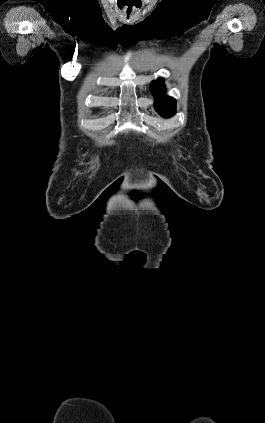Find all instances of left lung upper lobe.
Segmentation results:
<instances>
[{"instance_id":"5c2ea615","label":"left lung upper lobe","mask_w":265,"mask_h":423,"mask_svg":"<svg viewBox=\"0 0 265 423\" xmlns=\"http://www.w3.org/2000/svg\"><path fill=\"white\" fill-rule=\"evenodd\" d=\"M151 90L155 96L156 111L164 116L171 117L176 112V100L172 97H164L165 85L162 78H159L151 83Z\"/></svg>"}]
</instances>
